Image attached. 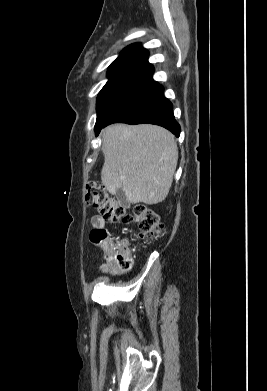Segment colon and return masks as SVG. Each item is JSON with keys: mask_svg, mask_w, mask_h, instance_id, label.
Returning a JSON list of instances; mask_svg holds the SVG:
<instances>
[{"mask_svg": "<svg viewBox=\"0 0 267 391\" xmlns=\"http://www.w3.org/2000/svg\"><path fill=\"white\" fill-rule=\"evenodd\" d=\"M85 202L95 208L105 220L134 223L139 236L154 240L162 235L163 226L159 215L151 208L138 204L129 212L128 208L117 198L110 196L105 186L99 182H90L86 186ZM91 241L102 244L109 239L108 231L97 228L91 232ZM107 260L113 261L121 270H129L132 266V256L128 240L122 239L112 245L111 252L106 254Z\"/></svg>", "mask_w": 267, "mask_h": 391, "instance_id": "obj_1", "label": "colon"}]
</instances>
